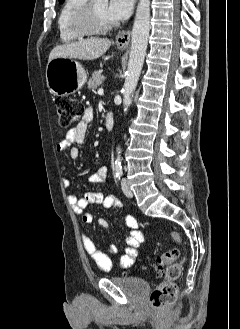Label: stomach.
<instances>
[{
    "label": "stomach",
    "instance_id": "0dacf381",
    "mask_svg": "<svg viewBox=\"0 0 240 329\" xmlns=\"http://www.w3.org/2000/svg\"><path fill=\"white\" fill-rule=\"evenodd\" d=\"M123 50L124 46H118ZM87 74L84 68L70 57H57L48 62L46 81L49 91L58 97L68 96L85 84Z\"/></svg>",
    "mask_w": 240,
    "mask_h": 329
}]
</instances>
